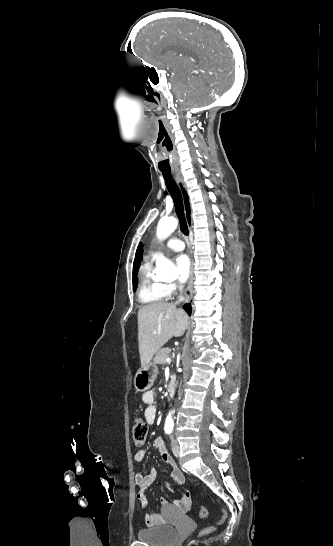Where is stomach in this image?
Returning a JSON list of instances; mask_svg holds the SVG:
<instances>
[{
	"instance_id": "obj_1",
	"label": "stomach",
	"mask_w": 333,
	"mask_h": 546,
	"mask_svg": "<svg viewBox=\"0 0 333 546\" xmlns=\"http://www.w3.org/2000/svg\"><path fill=\"white\" fill-rule=\"evenodd\" d=\"M157 374L158 367L154 361L145 368H139L134 377L135 388L142 392L149 390L152 387Z\"/></svg>"
}]
</instances>
